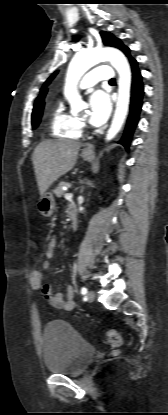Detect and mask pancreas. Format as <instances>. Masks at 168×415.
Segmentation results:
<instances>
[{"mask_svg": "<svg viewBox=\"0 0 168 415\" xmlns=\"http://www.w3.org/2000/svg\"><path fill=\"white\" fill-rule=\"evenodd\" d=\"M63 186L70 187L71 184L67 182H60L57 188L54 190V193L57 197H62L65 195V191L62 189Z\"/></svg>", "mask_w": 168, "mask_h": 415, "instance_id": "pancreas-1", "label": "pancreas"}]
</instances>
